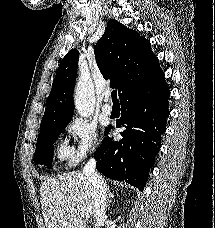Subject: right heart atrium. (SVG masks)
<instances>
[{
	"mask_svg": "<svg viewBox=\"0 0 215 228\" xmlns=\"http://www.w3.org/2000/svg\"><path fill=\"white\" fill-rule=\"evenodd\" d=\"M66 130L73 140L69 151L71 162L78 164L97 153L100 135L95 124L87 119L75 117L68 122Z\"/></svg>",
	"mask_w": 215,
	"mask_h": 228,
	"instance_id": "right-heart-atrium-1",
	"label": "right heart atrium"
}]
</instances>
